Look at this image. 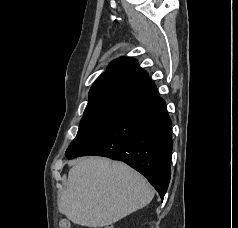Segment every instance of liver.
<instances>
[{"mask_svg": "<svg viewBox=\"0 0 238 228\" xmlns=\"http://www.w3.org/2000/svg\"><path fill=\"white\" fill-rule=\"evenodd\" d=\"M153 197L147 180L125 163L85 157L69 170L58 209L74 224L96 228L145 207Z\"/></svg>", "mask_w": 238, "mask_h": 228, "instance_id": "6515ba94", "label": "liver"}]
</instances>
